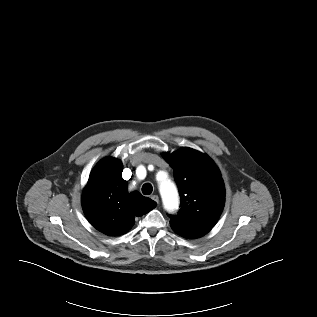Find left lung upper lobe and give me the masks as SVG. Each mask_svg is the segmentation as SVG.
Masks as SVG:
<instances>
[{
  "label": "left lung upper lobe",
  "mask_w": 317,
  "mask_h": 317,
  "mask_svg": "<svg viewBox=\"0 0 317 317\" xmlns=\"http://www.w3.org/2000/svg\"><path fill=\"white\" fill-rule=\"evenodd\" d=\"M174 170L181 196L177 215H168L172 229L178 225L213 228L225 203V187L220 171L207 155L182 148L175 153H163Z\"/></svg>",
  "instance_id": "1"
}]
</instances>
